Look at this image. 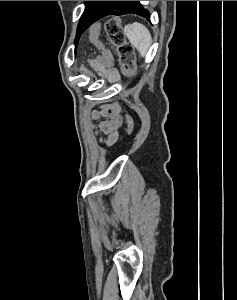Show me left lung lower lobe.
Here are the masks:
<instances>
[{
	"label": "left lung lower lobe",
	"instance_id": "1",
	"mask_svg": "<svg viewBox=\"0 0 237 300\" xmlns=\"http://www.w3.org/2000/svg\"><path fill=\"white\" fill-rule=\"evenodd\" d=\"M128 13L132 12L126 8L125 1H109V3L104 7L98 17L91 24L107 15H123Z\"/></svg>",
	"mask_w": 237,
	"mask_h": 300
}]
</instances>
